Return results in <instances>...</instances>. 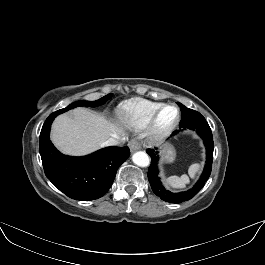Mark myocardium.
<instances>
[{
	"label": "myocardium",
	"instance_id": "f54148a6",
	"mask_svg": "<svg viewBox=\"0 0 265 265\" xmlns=\"http://www.w3.org/2000/svg\"><path fill=\"white\" fill-rule=\"evenodd\" d=\"M168 107H173L176 110V116L174 120L166 125V126H161L159 124V118L162 114V112L168 108ZM180 110L177 105L173 103H165L162 104L153 114V116L150 118L149 122L146 125V134L147 136L152 139V140H157L160 138L165 137L168 135L179 123L180 121Z\"/></svg>",
	"mask_w": 265,
	"mask_h": 265
}]
</instances>
